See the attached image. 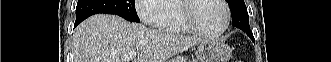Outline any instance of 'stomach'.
I'll return each mask as SVG.
<instances>
[{"instance_id":"stomach-1","label":"stomach","mask_w":331,"mask_h":62,"mask_svg":"<svg viewBox=\"0 0 331 62\" xmlns=\"http://www.w3.org/2000/svg\"><path fill=\"white\" fill-rule=\"evenodd\" d=\"M230 56V47L215 39L202 41L196 51L198 62H228Z\"/></svg>"}]
</instances>
